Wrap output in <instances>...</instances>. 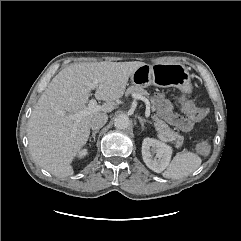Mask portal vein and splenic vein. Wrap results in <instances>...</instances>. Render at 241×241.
Instances as JSON below:
<instances>
[{
  "label": "portal vein and splenic vein",
  "mask_w": 241,
  "mask_h": 241,
  "mask_svg": "<svg viewBox=\"0 0 241 241\" xmlns=\"http://www.w3.org/2000/svg\"><path fill=\"white\" fill-rule=\"evenodd\" d=\"M101 80H94L93 82H90L88 84L89 88L90 89H95L97 84L100 82ZM133 98L135 99H138V100H141L143 101L145 104H146V111H145V115L146 117H149L150 116V102L149 100L140 95V94H133L132 95ZM101 109V106H99L96 102L95 99H90L89 103H88V107H86L85 109L83 110H80L79 112L75 113V114H72L71 115V118L73 120H75L76 122L80 121V119L86 115H89L91 113H94V112H97ZM161 140L163 141H167L164 137L162 136H159Z\"/></svg>",
  "instance_id": "portal-vein-and-splenic-vein-1"
}]
</instances>
